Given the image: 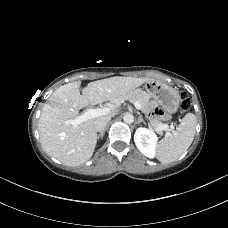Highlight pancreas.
Segmentation results:
<instances>
[{
    "mask_svg": "<svg viewBox=\"0 0 228 228\" xmlns=\"http://www.w3.org/2000/svg\"><path fill=\"white\" fill-rule=\"evenodd\" d=\"M149 99L150 97L139 89L133 90L131 92H127L122 94L119 98L115 100V103L119 104L123 101H129L131 103L139 102L141 104V109L144 113H148L149 111ZM167 124L160 122L159 120H151L149 123V127L154 129L157 133L162 134L164 130H167Z\"/></svg>",
    "mask_w": 228,
    "mask_h": 228,
    "instance_id": "cf45deb5",
    "label": "pancreas"
}]
</instances>
